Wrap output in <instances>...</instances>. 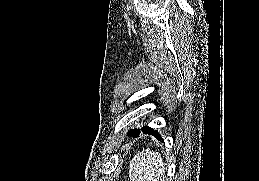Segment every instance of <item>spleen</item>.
<instances>
[{
  "instance_id": "1",
  "label": "spleen",
  "mask_w": 259,
  "mask_h": 181,
  "mask_svg": "<svg viewBox=\"0 0 259 181\" xmlns=\"http://www.w3.org/2000/svg\"><path fill=\"white\" fill-rule=\"evenodd\" d=\"M165 166L160 154L149 149L132 158L129 167L130 181H165Z\"/></svg>"
}]
</instances>
